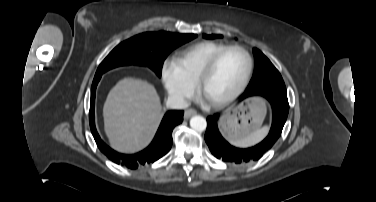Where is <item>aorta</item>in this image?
<instances>
[{"label":"aorta","mask_w":376,"mask_h":202,"mask_svg":"<svg viewBox=\"0 0 376 202\" xmlns=\"http://www.w3.org/2000/svg\"><path fill=\"white\" fill-rule=\"evenodd\" d=\"M190 126L195 131L203 132L207 127V122L204 117L196 115L190 119Z\"/></svg>","instance_id":"762f6f07"}]
</instances>
